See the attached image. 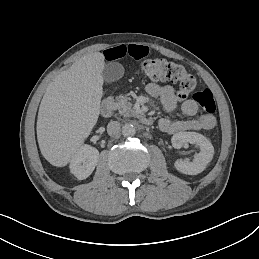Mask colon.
I'll return each instance as SVG.
<instances>
[{
  "label": "colon",
  "mask_w": 259,
  "mask_h": 259,
  "mask_svg": "<svg viewBox=\"0 0 259 259\" xmlns=\"http://www.w3.org/2000/svg\"><path fill=\"white\" fill-rule=\"evenodd\" d=\"M141 74L152 81H166L179 86L178 96L185 98L196 86L194 76L181 64L164 58L148 59L141 64ZM193 100L208 114H213L216 109L214 96L209 89L197 91Z\"/></svg>",
  "instance_id": "colon-1"
}]
</instances>
